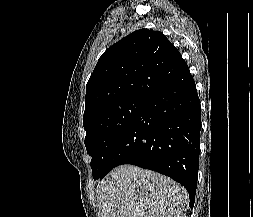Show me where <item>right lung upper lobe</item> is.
<instances>
[{
    "label": "right lung upper lobe",
    "instance_id": "1",
    "mask_svg": "<svg viewBox=\"0 0 253 217\" xmlns=\"http://www.w3.org/2000/svg\"><path fill=\"white\" fill-rule=\"evenodd\" d=\"M186 65L163 33L149 29L131 33L99 58L87 83L83 122L119 100L150 98Z\"/></svg>",
    "mask_w": 253,
    "mask_h": 217
}]
</instances>
